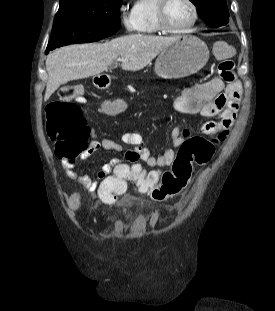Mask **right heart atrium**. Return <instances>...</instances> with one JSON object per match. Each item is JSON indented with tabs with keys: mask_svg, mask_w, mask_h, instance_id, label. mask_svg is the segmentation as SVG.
Returning <instances> with one entry per match:
<instances>
[{
	"mask_svg": "<svg viewBox=\"0 0 275 311\" xmlns=\"http://www.w3.org/2000/svg\"><path fill=\"white\" fill-rule=\"evenodd\" d=\"M120 21L123 27L128 32H134L138 30V23L132 13H128L124 10L120 11Z\"/></svg>",
	"mask_w": 275,
	"mask_h": 311,
	"instance_id": "1",
	"label": "right heart atrium"
}]
</instances>
